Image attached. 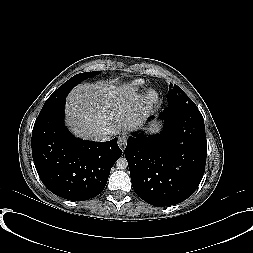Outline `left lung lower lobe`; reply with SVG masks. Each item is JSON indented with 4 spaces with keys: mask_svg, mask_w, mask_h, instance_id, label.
I'll list each match as a JSON object with an SVG mask.
<instances>
[{
    "mask_svg": "<svg viewBox=\"0 0 253 253\" xmlns=\"http://www.w3.org/2000/svg\"><path fill=\"white\" fill-rule=\"evenodd\" d=\"M160 134L133 133L125 157L135 193L155 206L180 203L200 184L206 164L204 120L197 110L168 106Z\"/></svg>",
    "mask_w": 253,
    "mask_h": 253,
    "instance_id": "obj_1",
    "label": "left lung lower lobe"
}]
</instances>
